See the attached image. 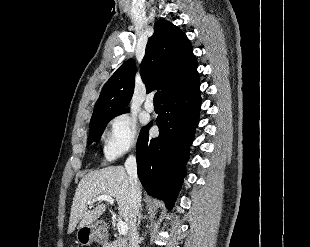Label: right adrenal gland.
Returning <instances> with one entry per match:
<instances>
[{
  "label": "right adrenal gland",
  "instance_id": "right-adrenal-gland-1",
  "mask_svg": "<svg viewBox=\"0 0 310 247\" xmlns=\"http://www.w3.org/2000/svg\"><path fill=\"white\" fill-rule=\"evenodd\" d=\"M141 211H142V209H141ZM141 211H140L139 214H138V223H137V226H138V227L140 226L141 219L146 218V216H143V215H142Z\"/></svg>",
  "mask_w": 310,
  "mask_h": 247
}]
</instances>
